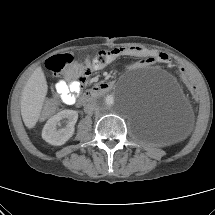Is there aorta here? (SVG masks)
Masks as SVG:
<instances>
[{
	"label": "aorta",
	"instance_id": "762f6f07",
	"mask_svg": "<svg viewBox=\"0 0 215 215\" xmlns=\"http://www.w3.org/2000/svg\"><path fill=\"white\" fill-rule=\"evenodd\" d=\"M117 99L114 95L108 94L98 98L97 106L102 110H109L115 108Z\"/></svg>",
	"mask_w": 215,
	"mask_h": 215
}]
</instances>
